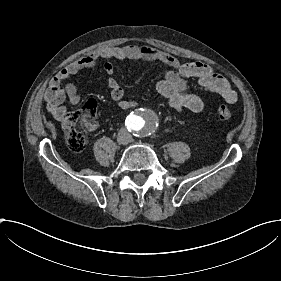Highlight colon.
<instances>
[{"label":"colon","instance_id":"colon-1","mask_svg":"<svg viewBox=\"0 0 281 281\" xmlns=\"http://www.w3.org/2000/svg\"><path fill=\"white\" fill-rule=\"evenodd\" d=\"M218 120L227 122L232 118V112L228 105L220 103L215 108ZM68 135L69 146L74 151H81L85 146V130L75 115H70L64 123Z\"/></svg>","mask_w":281,"mask_h":281}]
</instances>
